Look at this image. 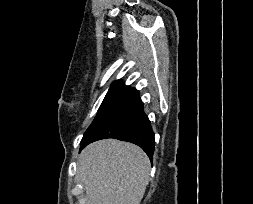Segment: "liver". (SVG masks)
Instances as JSON below:
<instances>
[{
  "label": "liver",
  "instance_id": "6515ba94",
  "mask_svg": "<svg viewBox=\"0 0 253 204\" xmlns=\"http://www.w3.org/2000/svg\"><path fill=\"white\" fill-rule=\"evenodd\" d=\"M78 173L87 204H140L149 182L150 161L132 143L105 139L82 151Z\"/></svg>",
  "mask_w": 253,
  "mask_h": 204
}]
</instances>
